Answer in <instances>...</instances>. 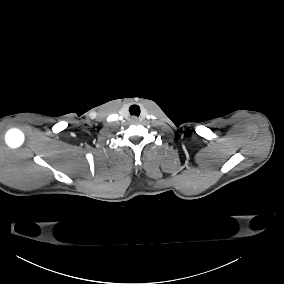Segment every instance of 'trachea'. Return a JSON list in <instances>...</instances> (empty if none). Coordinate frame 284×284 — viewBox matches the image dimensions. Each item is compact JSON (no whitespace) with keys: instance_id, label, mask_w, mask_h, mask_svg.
Returning a JSON list of instances; mask_svg holds the SVG:
<instances>
[{"instance_id":"3493384b","label":"trachea","mask_w":284,"mask_h":284,"mask_svg":"<svg viewBox=\"0 0 284 284\" xmlns=\"http://www.w3.org/2000/svg\"><path fill=\"white\" fill-rule=\"evenodd\" d=\"M130 115L139 116L140 115V107L138 105H132L129 108Z\"/></svg>"}]
</instances>
